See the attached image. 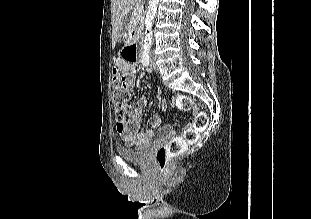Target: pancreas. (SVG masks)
<instances>
[{
  "label": "pancreas",
  "mask_w": 311,
  "mask_h": 219,
  "mask_svg": "<svg viewBox=\"0 0 311 219\" xmlns=\"http://www.w3.org/2000/svg\"><path fill=\"white\" fill-rule=\"evenodd\" d=\"M140 1L141 0H136L137 6H136V8H134V10L132 12V23H134V24H137L141 19V16L138 15V10L142 7Z\"/></svg>",
  "instance_id": "pancreas-1"
}]
</instances>
